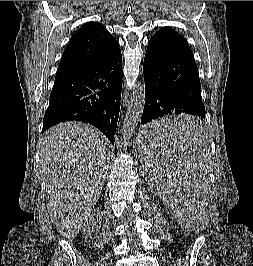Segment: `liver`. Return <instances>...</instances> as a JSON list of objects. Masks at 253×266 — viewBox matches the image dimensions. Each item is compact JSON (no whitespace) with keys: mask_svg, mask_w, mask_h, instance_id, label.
Listing matches in <instances>:
<instances>
[{"mask_svg":"<svg viewBox=\"0 0 253 266\" xmlns=\"http://www.w3.org/2000/svg\"><path fill=\"white\" fill-rule=\"evenodd\" d=\"M109 147L100 131L83 122L58 124L45 133L40 157L47 209L59 234L69 240L77 236L100 197Z\"/></svg>","mask_w":253,"mask_h":266,"instance_id":"6515ba94","label":"liver"}]
</instances>
